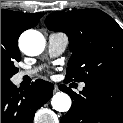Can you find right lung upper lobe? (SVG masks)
<instances>
[{
  "label": "right lung upper lobe",
  "instance_id": "cb5924a9",
  "mask_svg": "<svg viewBox=\"0 0 123 123\" xmlns=\"http://www.w3.org/2000/svg\"><path fill=\"white\" fill-rule=\"evenodd\" d=\"M42 16L43 14H29L10 10H1V24L10 25L14 34L19 38L20 34L24 30L36 26L39 22V18Z\"/></svg>",
  "mask_w": 123,
  "mask_h": 123
}]
</instances>
